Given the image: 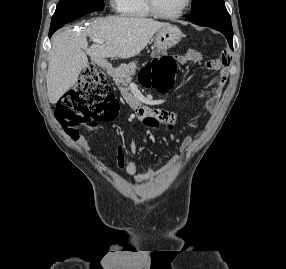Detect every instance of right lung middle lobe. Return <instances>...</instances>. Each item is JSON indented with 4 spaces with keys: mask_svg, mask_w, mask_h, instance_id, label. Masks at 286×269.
<instances>
[{
    "mask_svg": "<svg viewBox=\"0 0 286 269\" xmlns=\"http://www.w3.org/2000/svg\"><path fill=\"white\" fill-rule=\"evenodd\" d=\"M103 7V0H59L52 16L50 30H57L72 20Z\"/></svg>",
    "mask_w": 286,
    "mask_h": 269,
    "instance_id": "dd1d6c3e",
    "label": "right lung middle lobe"
}]
</instances>
